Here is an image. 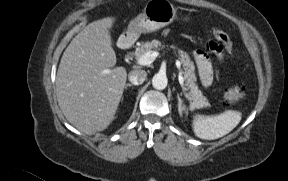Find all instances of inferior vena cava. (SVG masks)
<instances>
[{
	"label": "inferior vena cava",
	"instance_id": "1",
	"mask_svg": "<svg viewBox=\"0 0 288 181\" xmlns=\"http://www.w3.org/2000/svg\"><path fill=\"white\" fill-rule=\"evenodd\" d=\"M147 77L145 70H133L129 73V81L134 85L142 84Z\"/></svg>",
	"mask_w": 288,
	"mask_h": 181
}]
</instances>
